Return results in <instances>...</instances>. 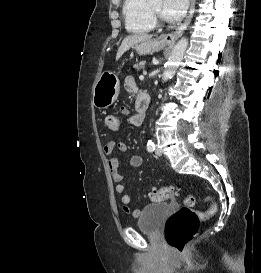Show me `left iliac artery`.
Returning a JSON list of instances; mask_svg holds the SVG:
<instances>
[{"mask_svg": "<svg viewBox=\"0 0 261 273\" xmlns=\"http://www.w3.org/2000/svg\"><path fill=\"white\" fill-rule=\"evenodd\" d=\"M154 149H155L154 142H153L152 140H148V143H147V150H148L149 152H152Z\"/></svg>", "mask_w": 261, "mask_h": 273, "instance_id": "44dca946", "label": "left iliac artery"}]
</instances>
